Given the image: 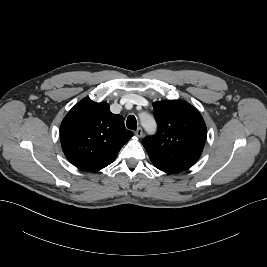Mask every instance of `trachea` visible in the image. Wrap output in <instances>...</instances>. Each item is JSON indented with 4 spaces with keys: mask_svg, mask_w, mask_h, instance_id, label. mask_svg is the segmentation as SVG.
Listing matches in <instances>:
<instances>
[{
    "mask_svg": "<svg viewBox=\"0 0 267 267\" xmlns=\"http://www.w3.org/2000/svg\"><path fill=\"white\" fill-rule=\"evenodd\" d=\"M126 125H127L128 129L136 130L137 129V121H136L135 116H133V115L128 116L127 121H126Z\"/></svg>",
    "mask_w": 267,
    "mask_h": 267,
    "instance_id": "1",
    "label": "trachea"
}]
</instances>
